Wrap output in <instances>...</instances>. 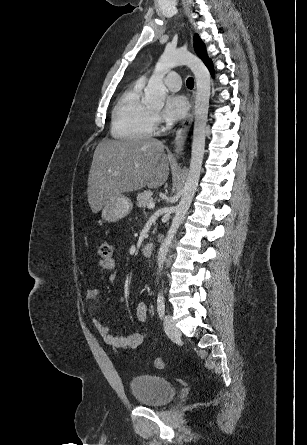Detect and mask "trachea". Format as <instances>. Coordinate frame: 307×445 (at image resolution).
<instances>
[{
  "mask_svg": "<svg viewBox=\"0 0 307 445\" xmlns=\"http://www.w3.org/2000/svg\"><path fill=\"white\" fill-rule=\"evenodd\" d=\"M186 84H187V87L188 88H193L194 87V80H193V78L192 77H189L188 79H187V81H186Z\"/></svg>",
  "mask_w": 307,
  "mask_h": 445,
  "instance_id": "trachea-1",
  "label": "trachea"
}]
</instances>
